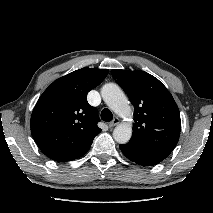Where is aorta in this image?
I'll list each match as a JSON object with an SVG mask.
<instances>
[{"instance_id": "762f6f07", "label": "aorta", "mask_w": 213, "mask_h": 213, "mask_svg": "<svg viewBox=\"0 0 213 213\" xmlns=\"http://www.w3.org/2000/svg\"><path fill=\"white\" fill-rule=\"evenodd\" d=\"M101 95L108 107L122 118L131 116L132 110L127 97L121 88L114 83L105 84L101 89ZM132 136L131 123H121L113 131V138L120 144L127 143Z\"/></svg>"}]
</instances>
